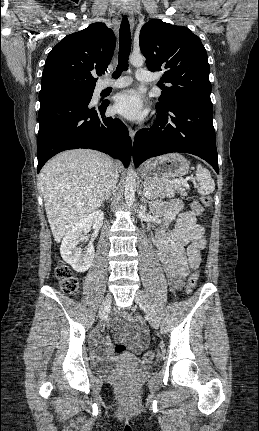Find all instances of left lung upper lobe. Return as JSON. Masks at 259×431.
<instances>
[{
  "instance_id": "1",
  "label": "left lung upper lobe",
  "mask_w": 259,
  "mask_h": 431,
  "mask_svg": "<svg viewBox=\"0 0 259 431\" xmlns=\"http://www.w3.org/2000/svg\"><path fill=\"white\" fill-rule=\"evenodd\" d=\"M139 45L148 69L164 70L162 82L172 84L161 87L158 104L177 99L212 104L207 53L200 38L187 27L150 20L141 29Z\"/></svg>"
}]
</instances>
